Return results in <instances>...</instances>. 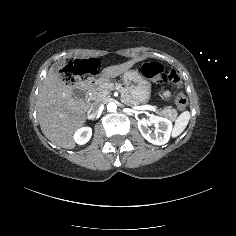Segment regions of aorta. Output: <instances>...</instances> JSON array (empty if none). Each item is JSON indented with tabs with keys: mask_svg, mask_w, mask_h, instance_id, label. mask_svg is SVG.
Returning <instances> with one entry per match:
<instances>
[{
	"mask_svg": "<svg viewBox=\"0 0 236 236\" xmlns=\"http://www.w3.org/2000/svg\"><path fill=\"white\" fill-rule=\"evenodd\" d=\"M107 109L109 112H115L117 110V104L115 102H110L107 105Z\"/></svg>",
	"mask_w": 236,
	"mask_h": 236,
	"instance_id": "762f6f07",
	"label": "aorta"
}]
</instances>
